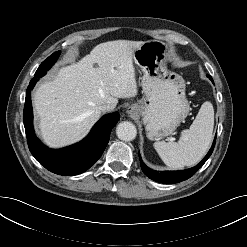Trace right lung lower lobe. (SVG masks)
Instances as JSON below:
<instances>
[{
    "instance_id": "obj_1",
    "label": "right lung lower lobe",
    "mask_w": 247,
    "mask_h": 247,
    "mask_svg": "<svg viewBox=\"0 0 247 247\" xmlns=\"http://www.w3.org/2000/svg\"><path fill=\"white\" fill-rule=\"evenodd\" d=\"M37 79H32L26 91L23 121L29 150L35 159L49 171L64 176L81 174L102 155L110 139L112 128L119 121L118 112L103 116L81 142L59 150L44 146L35 136L32 119L31 90Z\"/></svg>"
}]
</instances>
